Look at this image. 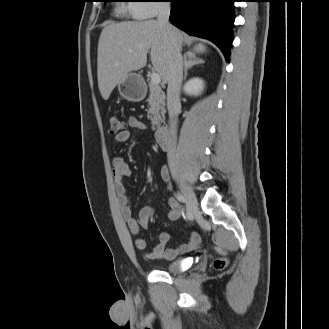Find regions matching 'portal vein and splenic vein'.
I'll return each instance as SVG.
<instances>
[{
    "label": "portal vein and splenic vein",
    "mask_w": 329,
    "mask_h": 329,
    "mask_svg": "<svg viewBox=\"0 0 329 329\" xmlns=\"http://www.w3.org/2000/svg\"><path fill=\"white\" fill-rule=\"evenodd\" d=\"M160 82H161V77H160L159 73L152 72V74H151V83L153 85H159Z\"/></svg>",
    "instance_id": "1"
}]
</instances>
